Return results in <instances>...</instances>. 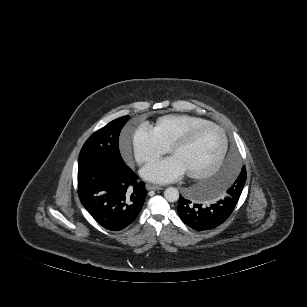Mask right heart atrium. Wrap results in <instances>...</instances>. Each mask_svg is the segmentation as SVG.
Masks as SVG:
<instances>
[{
	"label": "right heart atrium",
	"instance_id": "obj_1",
	"mask_svg": "<svg viewBox=\"0 0 307 307\" xmlns=\"http://www.w3.org/2000/svg\"><path fill=\"white\" fill-rule=\"evenodd\" d=\"M120 149L124 157H127L131 151L139 164H146L165 154L168 146L160 141L152 128L141 126L123 136Z\"/></svg>",
	"mask_w": 307,
	"mask_h": 307
}]
</instances>
